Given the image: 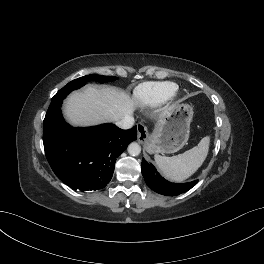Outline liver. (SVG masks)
I'll use <instances>...</instances> for the list:
<instances>
[{"label": "liver", "instance_id": "1", "mask_svg": "<svg viewBox=\"0 0 264 264\" xmlns=\"http://www.w3.org/2000/svg\"><path fill=\"white\" fill-rule=\"evenodd\" d=\"M136 106V101L123 91L87 86L67 98L64 113L72 125L90 126L132 116Z\"/></svg>", "mask_w": 264, "mask_h": 264}]
</instances>
